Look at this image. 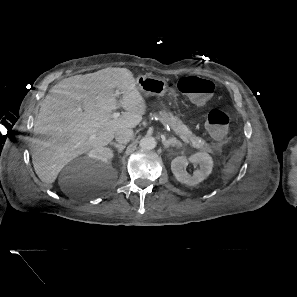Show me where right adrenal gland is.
Returning <instances> with one entry per match:
<instances>
[{
    "label": "right adrenal gland",
    "instance_id": "2a0ac1e0",
    "mask_svg": "<svg viewBox=\"0 0 297 297\" xmlns=\"http://www.w3.org/2000/svg\"><path fill=\"white\" fill-rule=\"evenodd\" d=\"M110 145L114 146L119 153H121L125 149V145L117 144L114 142H111Z\"/></svg>",
    "mask_w": 297,
    "mask_h": 297
}]
</instances>
